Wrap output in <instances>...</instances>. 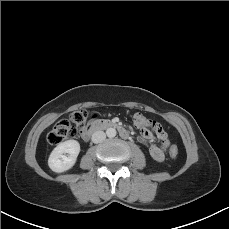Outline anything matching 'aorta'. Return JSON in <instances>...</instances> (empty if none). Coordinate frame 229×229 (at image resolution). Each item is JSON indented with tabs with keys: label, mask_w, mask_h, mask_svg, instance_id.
Masks as SVG:
<instances>
[{
	"label": "aorta",
	"mask_w": 229,
	"mask_h": 229,
	"mask_svg": "<svg viewBox=\"0 0 229 229\" xmlns=\"http://www.w3.org/2000/svg\"><path fill=\"white\" fill-rule=\"evenodd\" d=\"M116 129L115 128H108L106 130V135L109 137V138H113L116 136Z\"/></svg>",
	"instance_id": "obj_1"
}]
</instances>
